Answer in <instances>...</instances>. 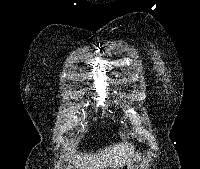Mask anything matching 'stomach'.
Here are the masks:
<instances>
[{
    "label": "stomach",
    "instance_id": "1",
    "mask_svg": "<svg viewBox=\"0 0 200 169\" xmlns=\"http://www.w3.org/2000/svg\"><path fill=\"white\" fill-rule=\"evenodd\" d=\"M138 160H141L140 159V156H137V157H134L131 158L130 161H128L126 164H124L121 169H137V165L134 164L135 162L137 163Z\"/></svg>",
    "mask_w": 200,
    "mask_h": 169
}]
</instances>
